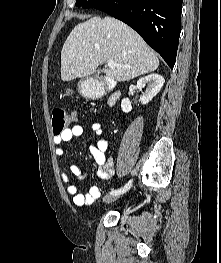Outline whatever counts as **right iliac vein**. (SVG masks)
Here are the masks:
<instances>
[{"instance_id": "obj_1", "label": "right iliac vein", "mask_w": 221, "mask_h": 263, "mask_svg": "<svg viewBox=\"0 0 221 263\" xmlns=\"http://www.w3.org/2000/svg\"><path fill=\"white\" fill-rule=\"evenodd\" d=\"M119 197L120 195H107L103 198V202L105 204H109V203L116 201Z\"/></svg>"}]
</instances>
